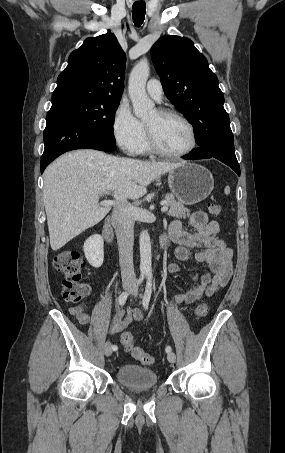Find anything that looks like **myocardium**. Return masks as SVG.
Returning a JSON list of instances; mask_svg holds the SVG:
<instances>
[{"mask_svg": "<svg viewBox=\"0 0 285 453\" xmlns=\"http://www.w3.org/2000/svg\"><path fill=\"white\" fill-rule=\"evenodd\" d=\"M157 113L161 117H174L185 123L190 131L191 142L190 145L183 151L180 152L167 151L159 145L152 130L147 125H145V132L150 150L157 155L170 158H181L190 154L197 146V133L193 123L186 116L172 109H160L157 111Z\"/></svg>", "mask_w": 285, "mask_h": 453, "instance_id": "1", "label": "myocardium"}]
</instances>
